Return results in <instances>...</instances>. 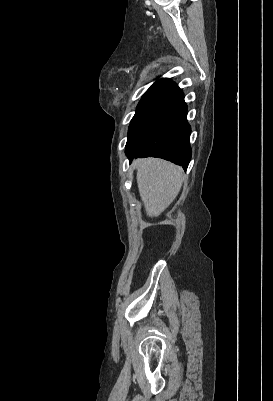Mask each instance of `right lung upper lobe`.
<instances>
[{
  "instance_id": "cb5924a9",
  "label": "right lung upper lobe",
  "mask_w": 273,
  "mask_h": 401,
  "mask_svg": "<svg viewBox=\"0 0 273 401\" xmlns=\"http://www.w3.org/2000/svg\"><path fill=\"white\" fill-rule=\"evenodd\" d=\"M181 93V89L170 79L157 80L145 93L151 96H164L172 98ZM144 95V96H145Z\"/></svg>"
}]
</instances>
